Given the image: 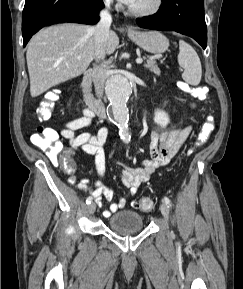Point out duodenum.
<instances>
[{"label":"duodenum","mask_w":243,"mask_h":289,"mask_svg":"<svg viewBox=\"0 0 243 289\" xmlns=\"http://www.w3.org/2000/svg\"><path fill=\"white\" fill-rule=\"evenodd\" d=\"M93 70L85 71L82 78V92L85 103L88 108L97 116L105 118L107 111L104 103L97 99L92 92Z\"/></svg>","instance_id":"obj_1"}]
</instances>
